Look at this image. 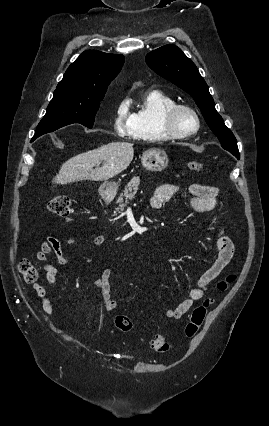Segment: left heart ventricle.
Instances as JSON below:
<instances>
[{
	"label": "left heart ventricle",
	"instance_id": "left-heart-ventricle-1",
	"mask_svg": "<svg viewBox=\"0 0 269 426\" xmlns=\"http://www.w3.org/2000/svg\"><path fill=\"white\" fill-rule=\"evenodd\" d=\"M176 124L182 130H192L195 127V120L189 113L180 112L176 118Z\"/></svg>",
	"mask_w": 269,
	"mask_h": 426
}]
</instances>
